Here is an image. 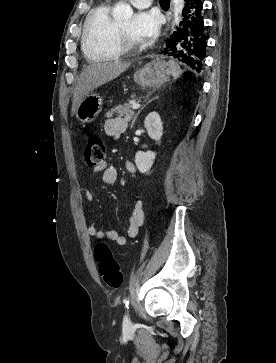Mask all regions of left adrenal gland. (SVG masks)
<instances>
[{"label": "left adrenal gland", "instance_id": "left-adrenal-gland-1", "mask_svg": "<svg viewBox=\"0 0 276 363\" xmlns=\"http://www.w3.org/2000/svg\"><path fill=\"white\" fill-rule=\"evenodd\" d=\"M154 99H158V96H157V97H155ZM154 99L149 100V101L147 102V104L151 103ZM145 106H146V105H145ZM145 106H144V107H145ZM144 107H142V108H141V109L137 112V114L135 115L134 120L132 121L131 127H133V125H134V123H135V120L137 119V117H138V115L140 114L141 110H142V109H144Z\"/></svg>", "mask_w": 276, "mask_h": 363}]
</instances>
